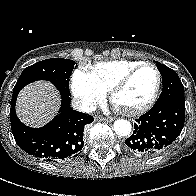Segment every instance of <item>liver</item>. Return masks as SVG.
Wrapping results in <instances>:
<instances>
[{"instance_id":"liver-1","label":"liver","mask_w":196,"mask_h":196,"mask_svg":"<svg viewBox=\"0 0 196 196\" xmlns=\"http://www.w3.org/2000/svg\"><path fill=\"white\" fill-rule=\"evenodd\" d=\"M60 97L57 89L49 82L38 81L21 90L16 103L20 120L31 127H40L57 113Z\"/></svg>"}]
</instances>
